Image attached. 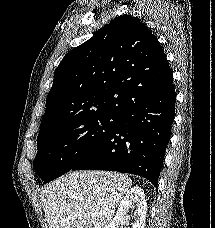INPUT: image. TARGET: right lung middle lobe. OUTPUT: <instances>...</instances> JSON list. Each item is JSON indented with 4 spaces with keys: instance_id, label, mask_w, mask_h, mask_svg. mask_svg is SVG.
Returning <instances> with one entry per match:
<instances>
[{
    "instance_id": "right-lung-middle-lobe-1",
    "label": "right lung middle lobe",
    "mask_w": 215,
    "mask_h": 228,
    "mask_svg": "<svg viewBox=\"0 0 215 228\" xmlns=\"http://www.w3.org/2000/svg\"><path fill=\"white\" fill-rule=\"evenodd\" d=\"M119 114L101 113L40 129L34 169L48 183L70 171L115 127Z\"/></svg>"
}]
</instances>
